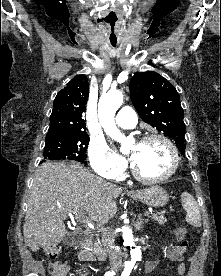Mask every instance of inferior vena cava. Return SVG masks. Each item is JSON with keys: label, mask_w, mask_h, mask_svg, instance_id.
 I'll use <instances>...</instances> for the list:
<instances>
[{"label": "inferior vena cava", "mask_w": 221, "mask_h": 276, "mask_svg": "<svg viewBox=\"0 0 221 276\" xmlns=\"http://www.w3.org/2000/svg\"><path fill=\"white\" fill-rule=\"evenodd\" d=\"M102 243L107 248L110 264L117 269L122 265V252L119 247L114 244V235L110 230L102 231Z\"/></svg>", "instance_id": "inferior-vena-cava-1"}]
</instances>
